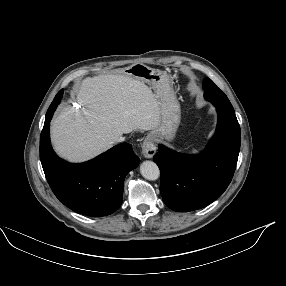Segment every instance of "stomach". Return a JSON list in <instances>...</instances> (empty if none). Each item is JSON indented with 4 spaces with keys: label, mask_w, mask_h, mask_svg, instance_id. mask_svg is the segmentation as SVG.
Wrapping results in <instances>:
<instances>
[{
    "label": "stomach",
    "mask_w": 286,
    "mask_h": 286,
    "mask_svg": "<svg viewBox=\"0 0 286 286\" xmlns=\"http://www.w3.org/2000/svg\"><path fill=\"white\" fill-rule=\"evenodd\" d=\"M124 75L148 84L155 92L161 111L160 125L149 137L171 141L180 123V104L166 72L135 63L124 69Z\"/></svg>",
    "instance_id": "1"
}]
</instances>
